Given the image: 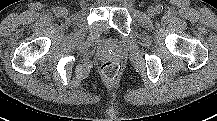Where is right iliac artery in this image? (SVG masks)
Segmentation results:
<instances>
[{
	"mask_svg": "<svg viewBox=\"0 0 217 121\" xmlns=\"http://www.w3.org/2000/svg\"><path fill=\"white\" fill-rule=\"evenodd\" d=\"M60 10H61L60 7H56V8H54L53 12H54L55 14H59V13H60Z\"/></svg>",
	"mask_w": 217,
	"mask_h": 121,
	"instance_id": "82829eb1",
	"label": "right iliac artery"
}]
</instances>
